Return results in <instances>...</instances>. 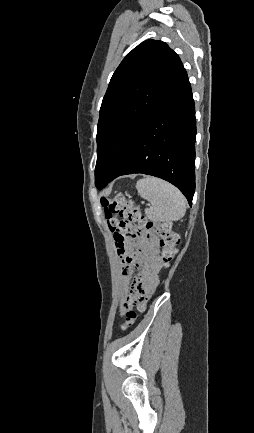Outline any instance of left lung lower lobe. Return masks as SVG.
I'll use <instances>...</instances> for the list:
<instances>
[{
	"label": "left lung lower lobe",
	"mask_w": 254,
	"mask_h": 433,
	"mask_svg": "<svg viewBox=\"0 0 254 433\" xmlns=\"http://www.w3.org/2000/svg\"><path fill=\"white\" fill-rule=\"evenodd\" d=\"M196 118L184 68L140 129L127 156L98 189L118 176L143 173L162 178L185 195L195 191Z\"/></svg>",
	"instance_id": "1"
}]
</instances>
